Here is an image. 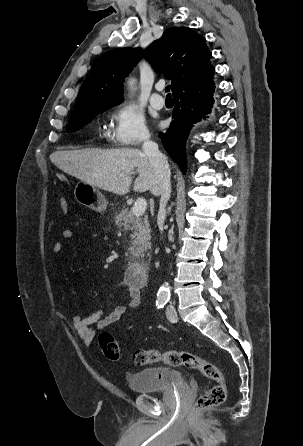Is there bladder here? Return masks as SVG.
Segmentation results:
<instances>
[{
  "mask_svg": "<svg viewBox=\"0 0 303 446\" xmlns=\"http://www.w3.org/2000/svg\"><path fill=\"white\" fill-rule=\"evenodd\" d=\"M129 388L136 393H151L185 387L181 372L164 367H149L126 376Z\"/></svg>",
  "mask_w": 303,
  "mask_h": 446,
  "instance_id": "31cf9c89",
  "label": "bladder"
}]
</instances>
